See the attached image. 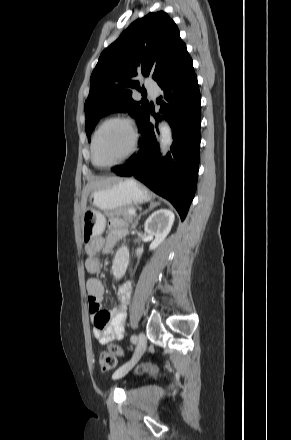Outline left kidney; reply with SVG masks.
Segmentation results:
<instances>
[{"instance_id": "left-kidney-1", "label": "left kidney", "mask_w": 291, "mask_h": 440, "mask_svg": "<svg viewBox=\"0 0 291 440\" xmlns=\"http://www.w3.org/2000/svg\"><path fill=\"white\" fill-rule=\"evenodd\" d=\"M175 219L174 213L169 209H159L153 212L145 221L144 230L146 233L154 236V240L150 244V250L156 249L170 233ZM140 257L143 248L140 247L136 251Z\"/></svg>"}]
</instances>
